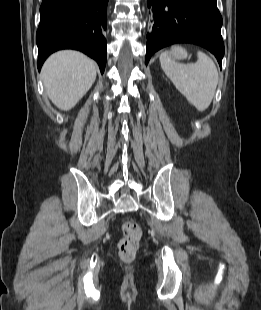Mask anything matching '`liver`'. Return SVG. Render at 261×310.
<instances>
[{
  "label": "liver",
  "instance_id": "liver-1",
  "mask_svg": "<svg viewBox=\"0 0 261 310\" xmlns=\"http://www.w3.org/2000/svg\"><path fill=\"white\" fill-rule=\"evenodd\" d=\"M96 79V64L77 51H60L50 56L42 68V80L50 100L59 109H72Z\"/></svg>",
  "mask_w": 261,
  "mask_h": 310
}]
</instances>
